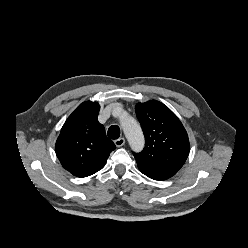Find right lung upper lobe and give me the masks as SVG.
Here are the masks:
<instances>
[{
    "mask_svg": "<svg viewBox=\"0 0 248 248\" xmlns=\"http://www.w3.org/2000/svg\"><path fill=\"white\" fill-rule=\"evenodd\" d=\"M97 102L80 104L64 123L55 151L62 166L76 177H87L101 170L116 148L97 120Z\"/></svg>",
    "mask_w": 248,
    "mask_h": 248,
    "instance_id": "cb5924a9",
    "label": "right lung upper lobe"
}]
</instances>
